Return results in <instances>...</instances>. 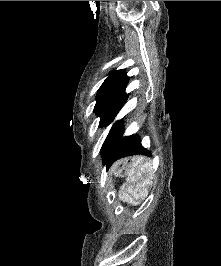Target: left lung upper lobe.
Segmentation results:
<instances>
[{
    "mask_svg": "<svg viewBox=\"0 0 221 266\" xmlns=\"http://www.w3.org/2000/svg\"><path fill=\"white\" fill-rule=\"evenodd\" d=\"M128 80L124 70L112 71L97 91L94 112L100 116L99 127L109 125L126 102Z\"/></svg>",
    "mask_w": 221,
    "mask_h": 266,
    "instance_id": "left-lung-upper-lobe-1",
    "label": "left lung upper lobe"
}]
</instances>
